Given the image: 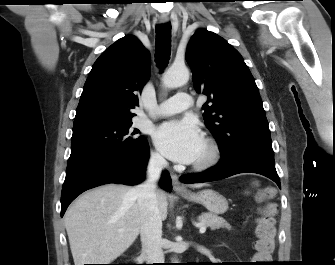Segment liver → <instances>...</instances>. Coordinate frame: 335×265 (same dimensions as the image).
I'll return each instance as SVG.
<instances>
[{
    "instance_id": "liver-1",
    "label": "liver",
    "mask_w": 335,
    "mask_h": 265,
    "mask_svg": "<svg viewBox=\"0 0 335 265\" xmlns=\"http://www.w3.org/2000/svg\"><path fill=\"white\" fill-rule=\"evenodd\" d=\"M156 194L161 219L165 220L167 196L162 190ZM64 224L75 265L110 264L133 244L140 232L135 188L107 184L86 192L68 208Z\"/></svg>"
}]
</instances>
